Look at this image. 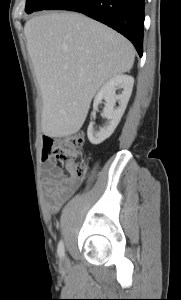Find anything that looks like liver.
Returning <instances> with one entry per match:
<instances>
[{
	"label": "liver",
	"mask_w": 181,
	"mask_h": 300,
	"mask_svg": "<svg viewBox=\"0 0 181 300\" xmlns=\"http://www.w3.org/2000/svg\"><path fill=\"white\" fill-rule=\"evenodd\" d=\"M24 34L49 137L77 133L100 87L130 71L132 43L106 25L76 12H49L25 23Z\"/></svg>",
	"instance_id": "liver-1"
}]
</instances>
